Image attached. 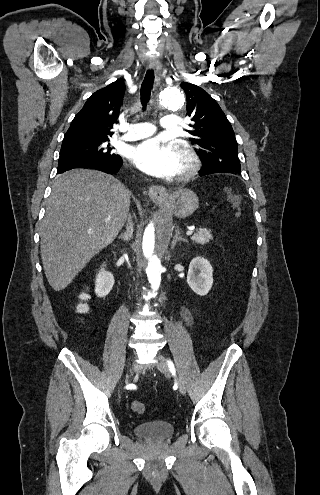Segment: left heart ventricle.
Segmentation results:
<instances>
[{"mask_svg":"<svg viewBox=\"0 0 320 495\" xmlns=\"http://www.w3.org/2000/svg\"><path fill=\"white\" fill-rule=\"evenodd\" d=\"M177 154H178V153H177ZM178 157H179V169H178V172H179V171H180V169H181V167H182V160H181V158H180V156H179V155H178Z\"/></svg>","mask_w":320,"mask_h":495,"instance_id":"obj_1","label":"left heart ventricle"}]
</instances>
